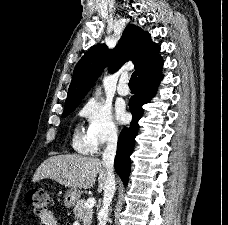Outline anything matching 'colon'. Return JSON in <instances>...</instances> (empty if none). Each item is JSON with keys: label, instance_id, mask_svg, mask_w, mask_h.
<instances>
[{"label": "colon", "instance_id": "colon-1", "mask_svg": "<svg viewBox=\"0 0 228 225\" xmlns=\"http://www.w3.org/2000/svg\"><path fill=\"white\" fill-rule=\"evenodd\" d=\"M26 203L33 209L36 216H44L49 206V194L38 187L29 188L25 196Z\"/></svg>", "mask_w": 228, "mask_h": 225}]
</instances>
